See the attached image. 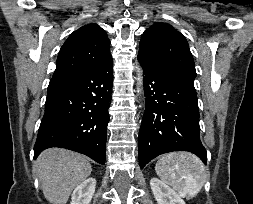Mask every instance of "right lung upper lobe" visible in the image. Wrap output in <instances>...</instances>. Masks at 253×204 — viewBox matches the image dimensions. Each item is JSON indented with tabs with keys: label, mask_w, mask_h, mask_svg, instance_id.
<instances>
[{
	"label": "right lung upper lobe",
	"mask_w": 253,
	"mask_h": 204,
	"mask_svg": "<svg viewBox=\"0 0 253 204\" xmlns=\"http://www.w3.org/2000/svg\"><path fill=\"white\" fill-rule=\"evenodd\" d=\"M110 58V40L105 31L95 23L82 26L61 47L51 81L88 70Z\"/></svg>",
	"instance_id": "1"
}]
</instances>
